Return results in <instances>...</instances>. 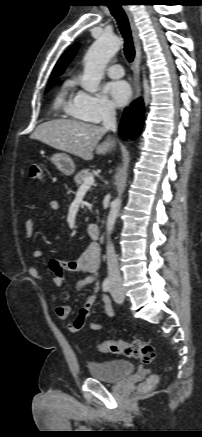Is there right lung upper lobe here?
Listing matches in <instances>:
<instances>
[{"label":"right lung upper lobe","mask_w":202,"mask_h":437,"mask_svg":"<svg viewBox=\"0 0 202 437\" xmlns=\"http://www.w3.org/2000/svg\"><path fill=\"white\" fill-rule=\"evenodd\" d=\"M78 48H79V44H76L61 56V58L58 60L56 66L52 72V75L50 77V81L51 80L54 81L55 78H57L59 75H61L63 73V71L65 70V67L73 59Z\"/></svg>","instance_id":"obj_1"}]
</instances>
